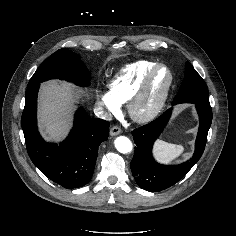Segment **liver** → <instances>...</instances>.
Wrapping results in <instances>:
<instances>
[{"instance_id":"liver-1","label":"liver","mask_w":236,"mask_h":236,"mask_svg":"<svg viewBox=\"0 0 236 236\" xmlns=\"http://www.w3.org/2000/svg\"><path fill=\"white\" fill-rule=\"evenodd\" d=\"M74 89V86L56 80L41 85L38 120L46 139L60 141L66 136L76 97Z\"/></svg>"}]
</instances>
